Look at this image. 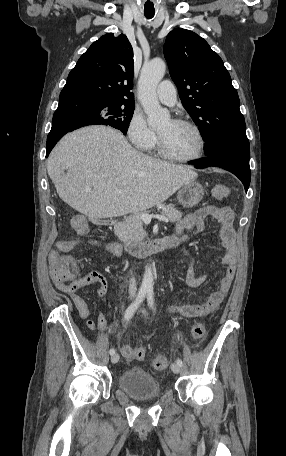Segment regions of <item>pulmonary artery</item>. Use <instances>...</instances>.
<instances>
[{
    "label": "pulmonary artery",
    "mask_w": 286,
    "mask_h": 456,
    "mask_svg": "<svg viewBox=\"0 0 286 456\" xmlns=\"http://www.w3.org/2000/svg\"><path fill=\"white\" fill-rule=\"evenodd\" d=\"M159 101L165 105L173 106L177 101V93L174 84L168 80L162 81L156 89Z\"/></svg>",
    "instance_id": "pulmonary-artery-1"
}]
</instances>
